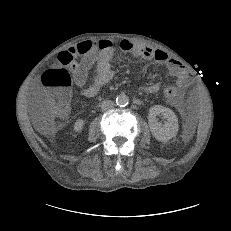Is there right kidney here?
Listing matches in <instances>:
<instances>
[{"mask_svg": "<svg viewBox=\"0 0 231 231\" xmlns=\"http://www.w3.org/2000/svg\"><path fill=\"white\" fill-rule=\"evenodd\" d=\"M84 121L82 119L76 120L74 123V131L80 133L83 129Z\"/></svg>", "mask_w": 231, "mask_h": 231, "instance_id": "obj_1", "label": "right kidney"}]
</instances>
